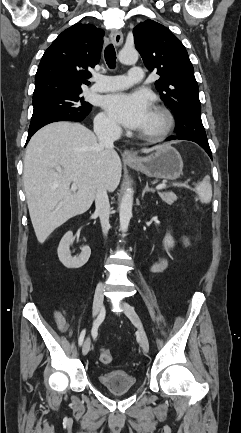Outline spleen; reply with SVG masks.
I'll use <instances>...</instances> for the list:
<instances>
[{
    "instance_id": "1",
    "label": "spleen",
    "mask_w": 241,
    "mask_h": 433,
    "mask_svg": "<svg viewBox=\"0 0 241 433\" xmlns=\"http://www.w3.org/2000/svg\"><path fill=\"white\" fill-rule=\"evenodd\" d=\"M195 190L202 203H210L212 198V186L208 175H206L203 180L195 186Z\"/></svg>"
}]
</instances>
